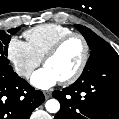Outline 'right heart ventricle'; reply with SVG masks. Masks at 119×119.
<instances>
[{
  "label": "right heart ventricle",
  "mask_w": 119,
  "mask_h": 119,
  "mask_svg": "<svg viewBox=\"0 0 119 119\" xmlns=\"http://www.w3.org/2000/svg\"><path fill=\"white\" fill-rule=\"evenodd\" d=\"M74 33L70 28L60 24H43L24 33L33 53L43 59L47 51L62 37Z\"/></svg>",
  "instance_id": "e07e8e85"
}]
</instances>
